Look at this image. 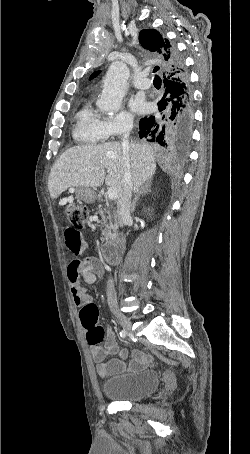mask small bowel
<instances>
[{"label":"small bowel","mask_w":250,"mask_h":454,"mask_svg":"<svg viewBox=\"0 0 250 454\" xmlns=\"http://www.w3.org/2000/svg\"><path fill=\"white\" fill-rule=\"evenodd\" d=\"M64 238L67 248L76 256L68 263L67 277L74 303L81 308L86 304L92 303V297L86 288L82 286L81 281L83 280L89 285L95 283L97 278L103 275L104 268L96 258L80 259L77 257L85 248L79 231L66 227L64 229ZM91 354L96 363L97 372L102 377H108L127 369L136 370L150 361L149 356L144 355L140 351H134L132 359L126 362L124 360L126 352L118 348L115 333L110 327L106 331L104 347L93 346ZM111 355H118L119 358L108 359Z\"/></svg>","instance_id":"obj_1"}]
</instances>
